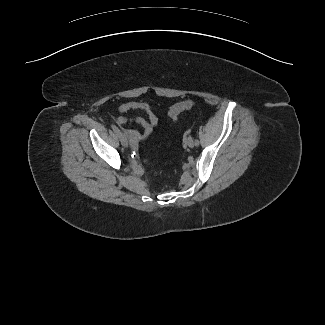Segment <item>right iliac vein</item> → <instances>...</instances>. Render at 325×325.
<instances>
[{
    "label": "right iliac vein",
    "instance_id": "obj_1",
    "mask_svg": "<svg viewBox=\"0 0 325 325\" xmlns=\"http://www.w3.org/2000/svg\"><path fill=\"white\" fill-rule=\"evenodd\" d=\"M119 139H120L121 144H122L124 147H127V146H128V139H127V137L125 136V134L121 133V134L119 135Z\"/></svg>",
    "mask_w": 325,
    "mask_h": 325
}]
</instances>
